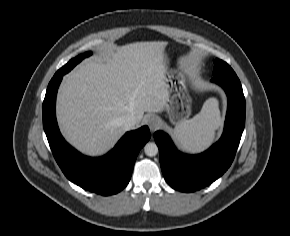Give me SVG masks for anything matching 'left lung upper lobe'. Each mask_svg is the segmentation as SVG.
<instances>
[{"instance_id":"left-lung-upper-lobe-1","label":"left lung upper lobe","mask_w":290,"mask_h":236,"mask_svg":"<svg viewBox=\"0 0 290 236\" xmlns=\"http://www.w3.org/2000/svg\"><path fill=\"white\" fill-rule=\"evenodd\" d=\"M214 76L226 75V74H235L233 69L224 61L220 59L214 60Z\"/></svg>"}]
</instances>
